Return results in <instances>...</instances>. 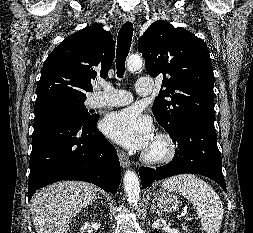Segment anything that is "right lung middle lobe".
Wrapping results in <instances>:
<instances>
[{
  "label": "right lung middle lobe",
  "mask_w": 253,
  "mask_h": 233,
  "mask_svg": "<svg viewBox=\"0 0 253 233\" xmlns=\"http://www.w3.org/2000/svg\"><path fill=\"white\" fill-rule=\"evenodd\" d=\"M84 100L54 97L35 103V119L39 120L49 116H63L77 122H87L95 117L90 115L84 106Z\"/></svg>",
  "instance_id": "right-lung-middle-lobe-1"
}]
</instances>
